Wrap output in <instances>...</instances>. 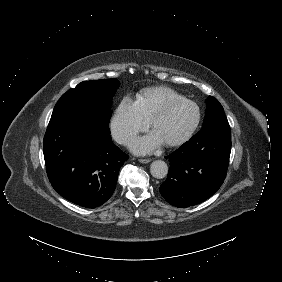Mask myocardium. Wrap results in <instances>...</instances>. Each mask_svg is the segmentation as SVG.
I'll return each instance as SVG.
<instances>
[{
	"label": "myocardium",
	"instance_id": "1",
	"mask_svg": "<svg viewBox=\"0 0 282 282\" xmlns=\"http://www.w3.org/2000/svg\"><path fill=\"white\" fill-rule=\"evenodd\" d=\"M185 105H191L194 108L195 110L194 119L191 122L190 126L187 128V130L181 136L171 141H163V143L166 146H169V147L179 146V145L184 144L191 138V136L193 135V133L195 132V130L197 129L200 123V119H201L200 107L195 102L189 99L182 98L178 100H173V101L168 102L165 108L155 113V115L153 116L151 120V126L153 130H155V126L158 123V121L161 120L168 112H170L171 110L177 107H181Z\"/></svg>",
	"mask_w": 282,
	"mask_h": 282
}]
</instances>
